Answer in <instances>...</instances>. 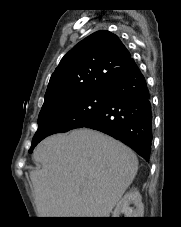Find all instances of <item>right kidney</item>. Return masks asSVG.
<instances>
[{
	"mask_svg": "<svg viewBox=\"0 0 181 227\" xmlns=\"http://www.w3.org/2000/svg\"><path fill=\"white\" fill-rule=\"evenodd\" d=\"M133 204L135 207H130ZM112 217H120L124 214L125 217H143L144 205L142 197L136 188H132L123 198L117 203Z\"/></svg>",
	"mask_w": 181,
	"mask_h": 227,
	"instance_id": "ca27d5eb",
	"label": "right kidney"
}]
</instances>
